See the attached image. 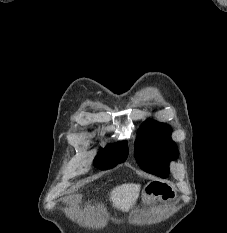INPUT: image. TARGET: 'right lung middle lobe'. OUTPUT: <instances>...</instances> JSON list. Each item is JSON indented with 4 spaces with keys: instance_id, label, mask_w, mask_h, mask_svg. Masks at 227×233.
Segmentation results:
<instances>
[{
    "instance_id": "right-lung-middle-lobe-1",
    "label": "right lung middle lobe",
    "mask_w": 227,
    "mask_h": 233,
    "mask_svg": "<svg viewBox=\"0 0 227 233\" xmlns=\"http://www.w3.org/2000/svg\"><path fill=\"white\" fill-rule=\"evenodd\" d=\"M127 155L128 150L123 144L108 145L95 157L94 165L102 170L110 169L124 162Z\"/></svg>"
}]
</instances>
